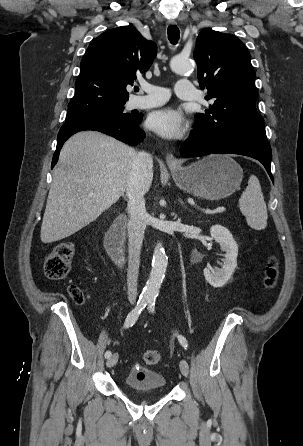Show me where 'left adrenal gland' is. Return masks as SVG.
<instances>
[{
	"instance_id": "1",
	"label": "left adrenal gland",
	"mask_w": 303,
	"mask_h": 446,
	"mask_svg": "<svg viewBox=\"0 0 303 446\" xmlns=\"http://www.w3.org/2000/svg\"><path fill=\"white\" fill-rule=\"evenodd\" d=\"M180 202H181L182 206H185V204H184V202L182 200Z\"/></svg>"
}]
</instances>
